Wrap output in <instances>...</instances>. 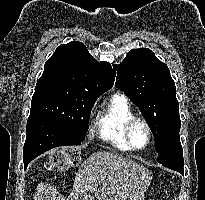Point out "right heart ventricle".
Wrapping results in <instances>:
<instances>
[{
	"instance_id": "1",
	"label": "right heart ventricle",
	"mask_w": 205,
	"mask_h": 200,
	"mask_svg": "<svg viewBox=\"0 0 205 200\" xmlns=\"http://www.w3.org/2000/svg\"><path fill=\"white\" fill-rule=\"evenodd\" d=\"M134 116L135 113L124 95H112L103 104L96 122L99 138L119 150H131L124 136V127Z\"/></svg>"
}]
</instances>
